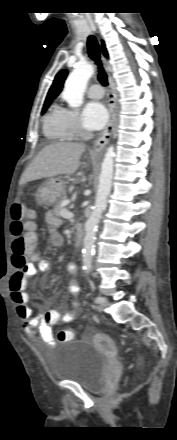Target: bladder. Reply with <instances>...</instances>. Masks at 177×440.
<instances>
[{"mask_svg": "<svg viewBox=\"0 0 177 440\" xmlns=\"http://www.w3.org/2000/svg\"><path fill=\"white\" fill-rule=\"evenodd\" d=\"M107 347L111 348L112 344ZM107 363L105 349H99L92 343L70 340L58 348L49 368L53 379L74 382L87 391L97 392L103 386Z\"/></svg>", "mask_w": 177, "mask_h": 440, "instance_id": "1", "label": "bladder"}]
</instances>
